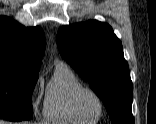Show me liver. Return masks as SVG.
<instances>
[{
  "instance_id": "1",
  "label": "liver",
  "mask_w": 156,
  "mask_h": 124,
  "mask_svg": "<svg viewBox=\"0 0 156 124\" xmlns=\"http://www.w3.org/2000/svg\"><path fill=\"white\" fill-rule=\"evenodd\" d=\"M0 124H6L4 121L0 120Z\"/></svg>"
}]
</instances>
